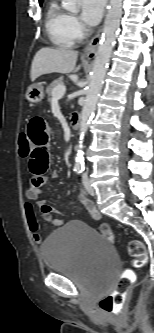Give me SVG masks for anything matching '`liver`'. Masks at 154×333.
I'll return each mask as SVG.
<instances>
[{"instance_id": "1", "label": "liver", "mask_w": 154, "mask_h": 333, "mask_svg": "<svg viewBox=\"0 0 154 333\" xmlns=\"http://www.w3.org/2000/svg\"><path fill=\"white\" fill-rule=\"evenodd\" d=\"M78 52L67 47L50 48L44 47L40 49L31 65V81H35L38 77L50 73L67 74L76 72V61Z\"/></svg>"}]
</instances>
